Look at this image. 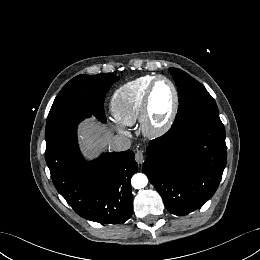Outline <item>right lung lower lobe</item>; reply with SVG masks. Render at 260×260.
Instances as JSON below:
<instances>
[{"label":"right lung lower lobe","mask_w":260,"mask_h":260,"mask_svg":"<svg viewBox=\"0 0 260 260\" xmlns=\"http://www.w3.org/2000/svg\"><path fill=\"white\" fill-rule=\"evenodd\" d=\"M77 126L66 131L45 159L58 192L81 217L104 224L127 221L133 211L130 180L138 167L131 150L105 153L86 162L77 144Z\"/></svg>","instance_id":"98d812e1"}]
</instances>
